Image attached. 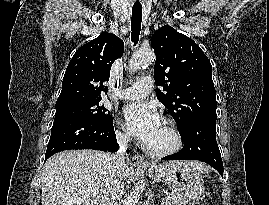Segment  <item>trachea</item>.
Masks as SVG:
<instances>
[{
    "label": "trachea",
    "instance_id": "obj_1",
    "mask_svg": "<svg viewBox=\"0 0 269 205\" xmlns=\"http://www.w3.org/2000/svg\"><path fill=\"white\" fill-rule=\"evenodd\" d=\"M142 22V6H133L131 18V40L136 45L139 40Z\"/></svg>",
    "mask_w": 269,
    "mask_h": 205
}]
</instances>
